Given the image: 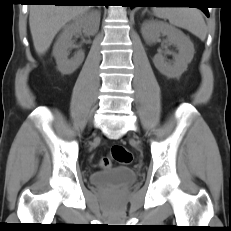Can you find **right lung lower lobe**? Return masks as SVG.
<instances>
[{
    "label": "right lung lower lobe",
    "mask_w": 231,
    "mask_h": 231,
    "mask_svg": "<svg viewBox=\"0 0 231 231\" xmlns=\"http://www.w3.org/2000/svg\"><path fill=\"white\" fill-rule=\"evenodd\" d=\"M27 1L29 3H52L55 5H74V3H76L77 1H82V0H27Z\"/></svg>",
    "instance_id": "obj_1"
}]
</instances>
